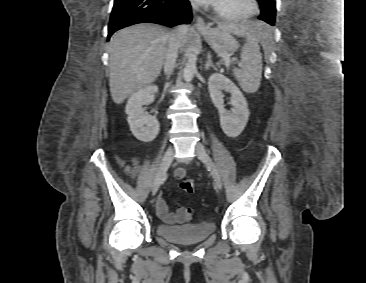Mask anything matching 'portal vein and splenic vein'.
<instances>
[{"instance_id": "18ae733b", "label": "portal vein and splenic vein", "mask_w": 366, "mask_h": 283, "mask_svg": "<svg viewBox=\"0 0 366 283\" xmlns=\"http://www.w3.org/2000/svg\"><path fill=\"white\" fill-rule=\"evenodd\" d=\"M224 60L229 61V55H225ZM238 66L243 67V64L241 62H239Z\"/></svg>"}]
</instances>
